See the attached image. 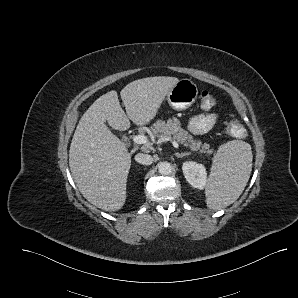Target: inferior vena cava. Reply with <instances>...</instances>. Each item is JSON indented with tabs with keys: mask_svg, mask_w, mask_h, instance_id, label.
Here are the masks:
<instances>
[{
	"mask_svg": "<svg viewBox=\"0 0 298 298\" xmlns=\"http://www.w3.org/2000/svg\"><path fill=\"white\" fill-rule=\"evenodd\" d=\"M135 160L138 163H141L144 165H151L153 162V157L150 154L138 153L135 155Z\"/></svg>",
	"mask_w": 298,
	"mask_h": 298,
	"instance_id": "602c4592",
	"label": "inferior vena cava"
}]
</instances>
